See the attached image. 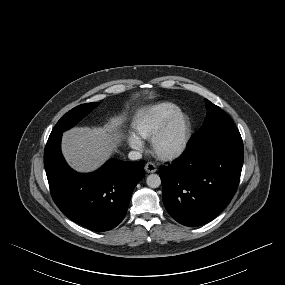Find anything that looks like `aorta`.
I'll use <instances>...</instances> for the list:
<instances>
[{
    "label": "aorta",
    "mask_w": 285,
    "mask_h": 285,
    "mask_svg": "<svg viewBox=\"0 0 285 285\" xmlns=\"http://www.w3.org/2000/svg\"><path fill=\"white\" fill-rule=\"evenodd\" d=\"M146 183L150 188H158L161 185L160 176L157 174H150L146 178Z\"/></svg>",
    "instance_id": "762f6f07"
}]
</instances>
